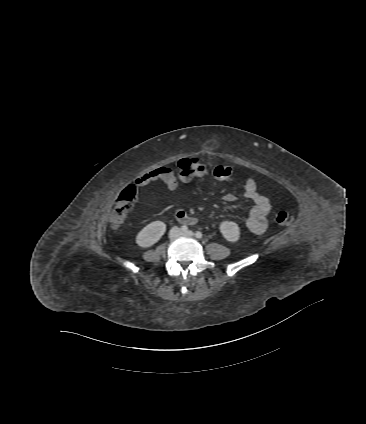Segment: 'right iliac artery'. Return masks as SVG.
Instances as JSON below:
<instances>
[{"label": "right iliac artery", "instance_id": "82829eb1", "mask_svg": "<svg viewBox=\"0 0 366 424\" xmlns=\"http://www.w3.org/2000/svg\"><path fill=\"white\" fill-rule=\"evenodd\" d=\"M181 230L183 232H186V231H188V227L186 225H183V226H181Z\"/></svg>", "mask_w": 366, "mask_h": 424}]
</instances>
